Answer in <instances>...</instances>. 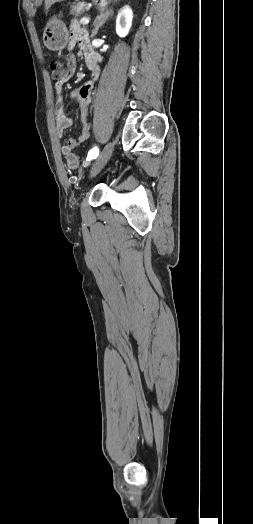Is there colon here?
<instances>
[{"instance_id": "obj_1", "label": "colon", "mask_w": 253, "mask_h": 524, "mask_svg": "<svg viewBox=\"0 0 253 524\" xmlns=\"http://www.w3.org/2000/svg\"><path fill=\"white\" fill-rule=\"evenodd\" d=\"M67 63L62 62L61 60H51L49 63V68L51 71L52 79L56 82H60V76L66 71ZM68 166L72 169H77L80 167V159L77 155L70 154L67 157Z\"/></svg>"}]
</instances>
